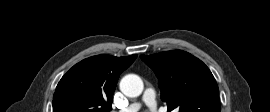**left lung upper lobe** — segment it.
<instances>
[{
  "label": "left lung upper lobe",
  "instance_id": "obj_1",
  "mask_svg": "<svg viewBox=\"0 0 270 112\" xmlns=\"http://www.w3.org/2000/svg\"><path fill=\"white\" fill-rule=\"evenodd\" d=\"M140 57L155 72L168 112H220L216 80L201 60L182 50Z\"/></svg>",
  "mask_w": 270,
  "mask_h": 112
}]
</instances>
